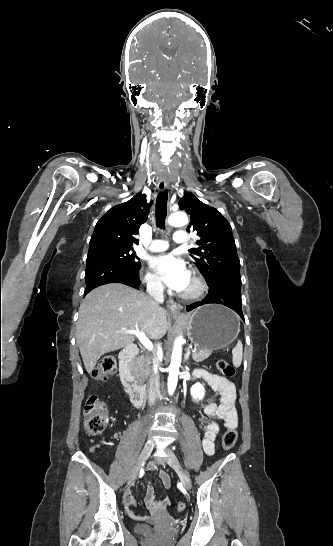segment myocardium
Instances as JSON below:
<instances>
[{"mask_svg": "<svg viewBox=\"0 0 333 546\" xmlns=\"http://www.w3.org/2000/svg\"><path fill=\"white\" fill-rule=\"evenodd\" d=\"M191 279L194 283V289L192 291H184L181 293V297L187 300L198 299L207 290V284L204 278L198 272L193 271Z\"/></svg>", "mask_w": 333, "mask_h": 546, "instance_id": "myocardium-1", "label": "myocardium"}]
</instances>
